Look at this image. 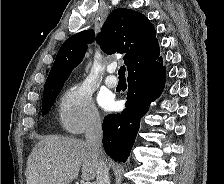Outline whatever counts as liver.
Instances as JSON below:
<instances>
[{"instance_id": "obj_1", "label": "liver", "mask_w": 224, "mask_h": 184, "mask_svg": "<svg viewBox=\"0 0 224 184\" xmlns=\"http://www.w3.org/2000/svg\"><path fill=\"white\" fill-rule=\"evenodd\" d=\"M98 159L87 142L48 135L33 148L25 172L27 184H70L82 170L84 181L94 180Z\"/></svg>"}]
</instances>
